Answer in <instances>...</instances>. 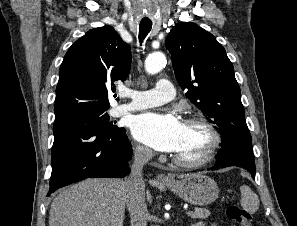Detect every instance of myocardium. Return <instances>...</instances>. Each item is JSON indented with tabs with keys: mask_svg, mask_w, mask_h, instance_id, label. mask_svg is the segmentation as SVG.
<instances>
[{
	"mask_svg": "<svg viewBox=\"0 0 297 226\" xmlns=\"http://www.w3.org/2000/svg\"><path fill=\"white\" fill-rule=\"evenodd\" d=\"M184 124H198L202 126L210 135V141L206 150L200 157L192 160H187L173 155L174 163L184 168H199L208 164L215 157L222 142L221 135L218 129L209 119L201 115H194L187 118L184 121Z\"/></svg>",
	"mask_w": 297,
	"mask_h": 226,
	"instance_id": "myocardium-1",
	"label": "myocardium"
}]
</instances>
